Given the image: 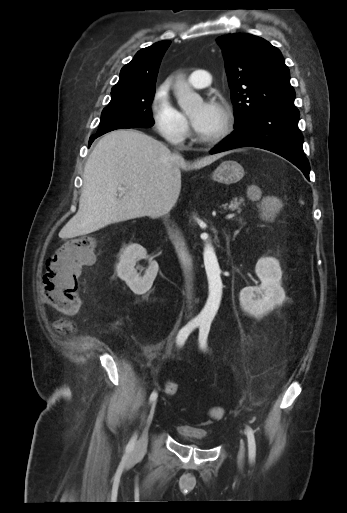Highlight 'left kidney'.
Segmentation results:
<instances>
[{
	"label": "left kidney",
	"mask_w": 347,
	"mask_h": 513,
	"mask_svg": "<svg viewBox=\"0 0 347 513\" xmlns=\"http://www.w3.org/2000/svg\"><path fill=\"white\" fill-rule=\"evenodd\" d=\"M255 272L261 285L243 288L239 300L246 313L261 318L283 303L285 292L281 287L282 271L278 260L273 257L260 258Z\"/></svg>",
	"instance_id": "1"
}]
</instances>
